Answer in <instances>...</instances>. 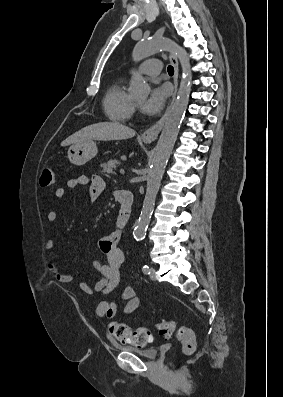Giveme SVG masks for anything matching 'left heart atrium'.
Instances as JSON below:
<instances>
[{"label":"left heart atrium","mask_w":283,"mask_h":397,"mask_svg":"<svg viewBox=\"0 0 283 397\" xmlns=\"http://www.w3.org/2000/svg\"><path fill=\"white\" fill-rule=\"evenodd\" d=\"M170 94V89L166 85L154 87L149 97L141 104V110L143 113L153 115L159 112Z\"/></svg>","instance_id":"obj_1"}]
</instances>
